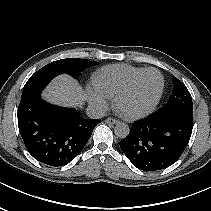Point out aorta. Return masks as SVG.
<instances>
[{
  "mask_svg": "<svg viewBox=\"0 0 211 211\" xmlns=\"http://www.w3.org/2000/svg\"><path fill=\"white\" fill-rule=\"evenodd\" d=\"M129 126L125 123H118L114 128V133L119 138H125L129 134Z\"/></svg>",
  "mask_w": 211,
  "mask_h": 211,
  "instance_id": "obj_1",
  "label": "aorta"
}]
</instances>
